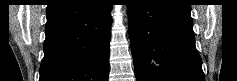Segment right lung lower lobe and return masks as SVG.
<instances>
[{"mask_svg": "<svg viewBox=\"0 0 237 81\" xmlns=\"http://www.w3.org/2000/svg\"><path fill=\"white\" fill-rule=\"evenodd\" d=\"M111 9L107 0L48 8L39 81H107Z\"/></svg>", "mask_w": 237, "mask_h": 81, "instance_id": "98d812e1", "label": "right lung lower lobe"}]
</instances>
